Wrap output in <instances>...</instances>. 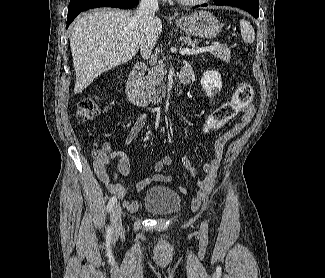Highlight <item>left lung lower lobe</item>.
Segmentation results:
<instances>
[{
    "label": "left lung lower lobe",
    "instance_id": "0a47b994",
    "mask_svg": "<svg viewBox=\"0 0 325 278\" xmlns=\"http://www.w3.org/2000/svg\"><path fill=\"white\" fill-rule=\"evenodd\" d=\"M214 4L239 7L249 12L255 18L259 17V0H215ZM202 6H207V4Z\"/></svg>",
    "mask_w": 325,
    "mask_h": 278
}]
</instances>
